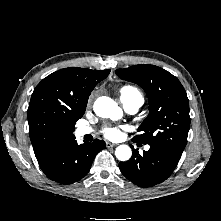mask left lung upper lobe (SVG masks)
Here are the masks:
<instances>
[{"label":"left lung upper lobe","instance_id":"1","mask_svg":"<svg viewBox=\"0 0 221 221\" xmlns=\"http://www.w3.org/2000/svg\"><path fill=\"white\" fill-rule=\"evenodd\" d=\"M121 79L142 87L149 99V115L139 127L137 142L158 145L182 154L190 126L189 101L180 81L154 65L117 69Z\"/></svg>","mask_w":221,"mask_h":221}]
</instances>
